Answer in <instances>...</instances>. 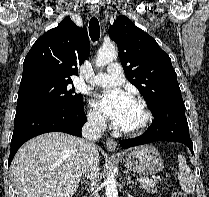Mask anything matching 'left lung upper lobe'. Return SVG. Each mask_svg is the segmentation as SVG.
I'll return each instance as SVG.
<instances>
[{
	"label": "left lung upper lobe",
	"mask_w": 209,
	"mask_h": 197,
	"mask_svg": "<svg viewBox=\"0 0 209 197\" xmlns=\"http://www.w3.org/2000/svg\"><path fill=\"white\" fill-rule=\"evenodd\" d=\"M109 36L118 45L127 79L141 92L152 113L165 105L184 104L171 59L154 38L126 16L114 21Z\"/></svg>",
	"instance_id": "obj_1"
}]
</instances>
